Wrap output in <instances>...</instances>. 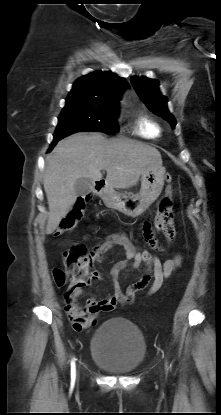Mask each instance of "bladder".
I'll return each instance as SVG.
<instances>
[{
	"mask_svg": "<svg viewBox=\"0 0 221 415\" xmlns=\"http://www.w3.org/2000/svg\"><path fill=\"white\" fill-rule=\"evenodd\" d=\"M93 362L106 372L129 374L144 360L146 342L140 329L130 320L115 317L103 322L90 342Z\"/></svg>",
	"mask_w": 221,
	"mask_h": 415,
	"instance_id": "obj_1",
	"label": "bladder"
}]
</instances>
